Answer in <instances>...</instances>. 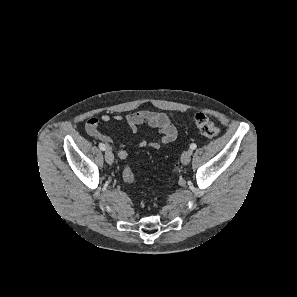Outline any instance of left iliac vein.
Here are the masks:
<instances>
[{
	"label": "left iliac vein",
	"instance_id": "left-iliac-vein-1",
	"mask_svg": "<svg viewBox=\"0 0 297 297\" xmlns=\"http://www.w3.org/2000/svg\"><path fill=\"white\" fill-rule=\"evenodd\" d=\"M192 152L190 150L184 151L181 155V162L183 165H187L190 162Z\"/></svg>",
	"mask_w": 297,
	"mask_h": 297
}]
</instances>
